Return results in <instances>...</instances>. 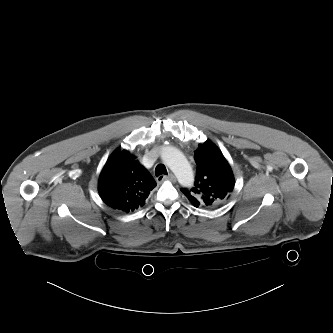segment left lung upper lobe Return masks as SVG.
Listing matches in <instances>:
<instances>
[{
    "instance_id": "obj_1",
    "label": "left lung upper lobe",
    "mask_w": 333,
    "mask_h": 333,
    "mask_svg": "<svg viewBox=\"0 0 333 333\" xmlns=\"http://www.w3.org/2000/svg\"><path fill=\"white\" fill-rule=\"evenodd\" d=\"M194 158L198 166L194 187L182 188L181 191L195 207L216 208L224 205L235 184L227 160L209 140L199 144Z\"/></svg>"
}]
</instances>
